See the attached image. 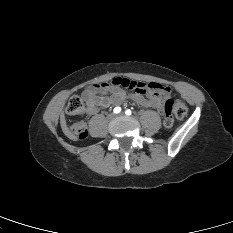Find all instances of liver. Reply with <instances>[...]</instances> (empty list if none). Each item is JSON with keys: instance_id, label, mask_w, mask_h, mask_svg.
<instances>
[{"instance_id": "1", "label": "liver", "mask_w": 233, "mask_h": 233, "mask_svg": "<svg viewBox=\"0 0 233 233\" xmlns=\"http://www.w3.org/2000/svg\"><path fill=\"white\" fill-rule=\"evenodd\" d=\"M63 107H64V102H62L61 106H60V111H61V114H60V124H61V128H62L63 132L66 133V131H67V125H66V120H65L64 113L62 112Z\"/></svg>"}]
</instances>
